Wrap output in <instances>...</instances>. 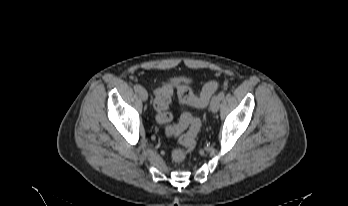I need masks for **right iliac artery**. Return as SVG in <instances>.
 <instances>
[{
    "instance_id": "1",
    "label": "right iliac artery",
    "mask_w": 348,
    "mask_h": 206,
    "mask_svg": "<svg viewBox=\"0 0 348 206\" xmlns=\"http://www.w3.org/2000/svg\"><path fill=\"white\" fill-rule=\"evenodd\" d=\"M140 89H141V86H140V85L136 84V85L134 86V90H135L136 92H139Z\"/></svg>"
}]
</instances>
